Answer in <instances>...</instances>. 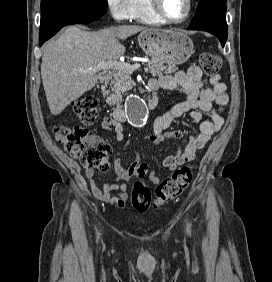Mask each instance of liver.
Returning a JSON list of instances; mask_svg holds the SVG:
<instances>
[{
  "label": "liver",
  "instance_id": "obj_1",
  "mask_svg": "<svg viewBox=\"0 0 272 282\" xmlns=\"http://www.w3.org/2000/svg\"><path fill=\"white\" fill-rule=\"evenodd\" d=\"M146 27L122 25L99 31H85L69 26L56 40L44 46L41 77L49 109L60 114L72 101L81 97L97 83L100 61H116L126 49L124 40Z\"/></svg>",
  "mask_w": 272,
  "mask_h": 282
}]
</instances>
